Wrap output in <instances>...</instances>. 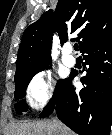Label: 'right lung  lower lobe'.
I'll use <instances>...</instances> for the list:
<instances>
[{"mask_svg": "<svg viewBox=\"0 0 112 135\" xmlns=\"http://www.w3.org/2000/svg\"><path fill=\"white\" fill-rule=\"evenodd\" d=\"M87 73L77 90L74 74L61 84L55 98L40 117L54 110L58 118L79 135H109L112 124V39L82 51ZM84 66V67H85ZM85 71V70H84Z\"/></svg>", "mask_w": 112, "mask_h": 135, "instance_id": "right-lung-lower-lobe-1", "label": "right lung lower lobe"}]
</instances>
